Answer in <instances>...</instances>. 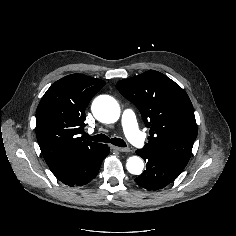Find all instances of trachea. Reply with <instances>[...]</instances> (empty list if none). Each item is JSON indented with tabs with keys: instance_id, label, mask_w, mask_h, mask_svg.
<instances>
[{
	"instance_id": "obj_1",
	"label": "trachea",
	"mask_w": 236,
	"mask_h": 236,
	"mask_svg": "<svg viewBox=\"0 0 236 236\" xmlns=\"http://www.w3.org/2000/svg\"><path fill=\"white\" fill-rule=\"evenodd\" d=\"M85 138H87L91 141H95V142H105V143L111 142L115 146L126 147V143L124 142V140H122L120 138H111V139H109V137H107L104 134H98V135H95V136H90V135L86 134Z\"/></svg>"
}]
</instances>
